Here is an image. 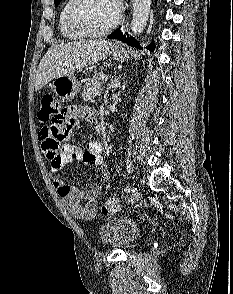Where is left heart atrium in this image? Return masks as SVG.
I'll return each instance as SVG.
<instances>
[{"label": "left heart atrium", "mask_w": 233, "mask_h": 294, "mask_svg": "<svg viewBox=\"0 0 233 294\" xmlns=\"http://www.w3.org/2000/svg\"><path fill=\"white\" fill-rule=\"evenodd\" d=\"M115 11L119 13L122 9V1L121 0H110Z\"/></svg>", "instance_id": "39dd6f15"}]
</instances>
